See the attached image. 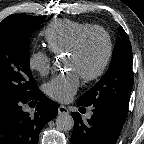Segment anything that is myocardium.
I'll use <instances>...</instances> for the list:
<instances>
[{"instance_id":"f54148a6","label":"myocardium","mask_w":144,"mask_h":144,"mask_svg":"<svg viewBox=\"0 0 144 144\" xmlns=\"http://www.w3.org/2000/svg\"><path fill=\"white\" fill-rule=\"evenodd\" d=\"M92 33H99L103 36L106 43V52L101 64L98 66V68L95 71H93L90 74L82 75L83 79L86 81H94L99 77H101L103 73L106 71L113 55V41L110 33L105 28L97 25H93L85 29L84 31H82L77 36L72 46L67 51L68 54L69 55L77 54L81 50L86 38Z\"/></svg>"}]
</instances>
